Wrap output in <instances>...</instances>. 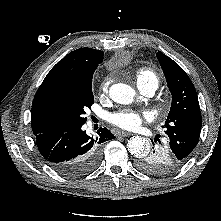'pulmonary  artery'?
I'll list each match as a JSON object with an SVG mask.
<instances>
[{"label":"pulmonary artery","instance_id":"e3ab8cb5","mask_svg":"<svg viewBox=\"0 0 221 221\" xmlns=\"http://www.w3.org/2000/svg\"><path fill=\"white\" fill-rule=\"evenodd\" d=\"M138 88L143 95L148 97L153 96L157 89V87L153 84L138 85Z\"/></svg>","mask_w":221,"mask_h":221}]
</instances>
